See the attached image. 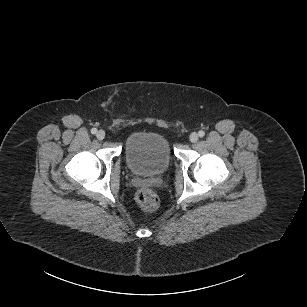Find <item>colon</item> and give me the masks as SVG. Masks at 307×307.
Listing matches in <instances>:
<instances>
[{"label": "colon", "mask_w": 307, "mask_h": 307, "mask_svg": "<svg viewBox=\"0 0 307 307\" xmlns=\"http://www.w3.org/2000/svg\"><path fill=\"white\" fill-rule=\"evenodd\" d=\"M136 201L140 208L147 212L154 211L159 204L157 195L148 188H143L137 192Z\"/></svg>", "instance_id": "5ec220e1"}]
</instances>
